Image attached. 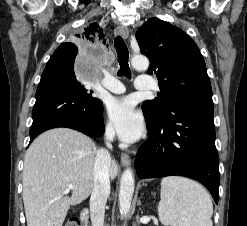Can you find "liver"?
<instances>
[{"mask_svg": "<svg viewBox=\"0 0 247 226\" xmlns=\"http://www.w3.org/2000/svg\"><path fill=\"white\" fill-rule=\"evenodd\" d=\"M95 143L86 135L56 128L38 136L28 148L23 169V202L27 226H62L71 205L93 191ZM118 165L112 161L109 176ZM73 185L71 197L65 190Z\"/></svg>", "mask_w": 247, "mask_h": 226, "instance_id": "1", "label": "liver"}]
</instances>
